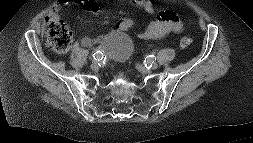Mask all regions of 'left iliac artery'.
<instances>
[{
  "instance_id": "left-iliac-artery-1",
  "label": "left iliac artery",
  "mask_w": 253,
  "mask_h": 143,
  "mask_svg": "<svg viewBox=\"0 0 253 143\" xmlns=\"http://www.w3.org/2000/svg\"><path fill=\"white\" fill-rule=\"evenodd\" d=\"M155 60L156 58L154 55L147 56L144 61L146 68L148 67V69H150L149 66H151L152 65L151 63H153Z\"/></svg>"
}]
</instances>
